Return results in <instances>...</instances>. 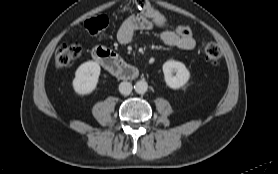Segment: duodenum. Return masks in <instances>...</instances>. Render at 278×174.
<instances>
[{
  "label": "duodenum",
  "instance_id": "duodenum-1",
  "mask_svg": "<svg viewBox=\"0 0 278 174\" xmlns=\"http://www.w3.org/2000/svg\"><path fill=\"white\" fill-rule=\"evenodd\" d=\"M93 58L113 75L132 79L138 75L135 67L124 61L117 53L103 47H96L92 52Z\"/></svg>",
  "mask_w": 278,
  "mask_h": 174
}]
</instances>
